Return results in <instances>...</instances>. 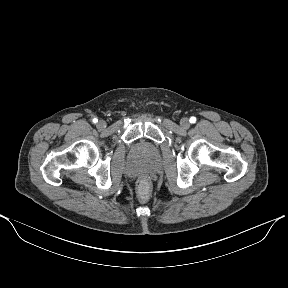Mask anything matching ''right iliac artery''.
Listing matches in <instances>:
<instances>
[{
	"label": "right iliac artery",
	"instance_id": "82829eb1",
	"mask_svg": "<svg viewBox=\"0 0 288 288\" xmlns=\"http://www.w3.org/2000/svg\"><path fill=\"white\" fill-rule=\"evenodd\" d=\"M92 121H93V123H97V122H98V119H97V118H94Z\"/></svg>",
	"mask_w": 288,
	"mask_h": 288
}]
</instances>
